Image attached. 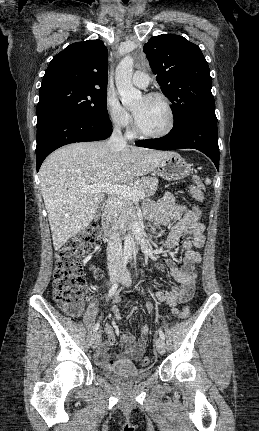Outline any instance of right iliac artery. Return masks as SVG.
<instances>
[{"label": "right iliac artery", "instance_id": "82829eb1", "mask_svg": "<svg viewBox=\"0 0 259 431\" xmlns=\"http://www.w3.org/2000/svg\"><path fill=\"white\" fill-rule=\"evenodd\" d=\"M128 258H129V256H128V255H124V257H123V262H122L121 274H123V272H124V271H125V269H126V266H127V263H128ZM118 285H119V280H118L117 282H115V283L112 285V287L110 288L109 293H108V297H112V296L114 295V293L116 292V290H117V288H118ZM98 328H99V323H96V324H95V326H94L93 331H94V332H97Z\"/></svg>", "mask_w": 259, "mask_h": 431}]
</instances>
